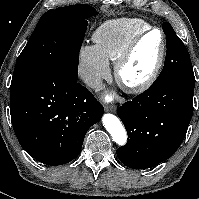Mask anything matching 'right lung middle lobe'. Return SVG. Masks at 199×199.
Wrapping results in <instances>:
<instances>
[{
  "instance_id": "1",
  "label": "right lung middle lobe",
  "mask_w": 199,
  "mask_h": 199,
  "mask_svg": "<svg viewBox=\"0 0 199 199\" xmlns=\"http://www.w3.org/2000/svg\"><path fill=\"white\" fill-rule=\"evenodd\" d=\"M97 14L93 7L86 4L60 7L44 13L18 57L10 92L52 70L77 79L79 51L87 19Z\"/></svg>"
}]
</instances>
